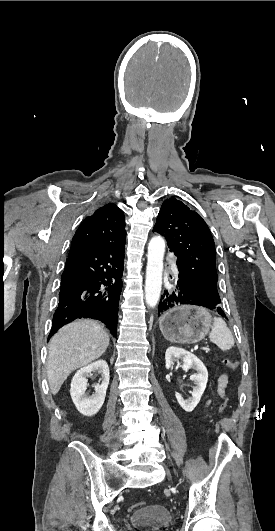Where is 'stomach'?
<instances>
[{
    "label": "stomach",
    "mask_w": 275,
    "mask_h": 531,
    "mask_svg": "<svg viewBox=\"0 0 275 531\" xmlns=\"http://www.w3.org/2000/svg\"><path fill=\"white\" fill-rule=\"evenodd\" d=\"M212 315L196 301H179L159 319L162 335L171 343H199L212 327Z\"/></svg>",
    "instance_id": "obj_1"
}]
</instances>
